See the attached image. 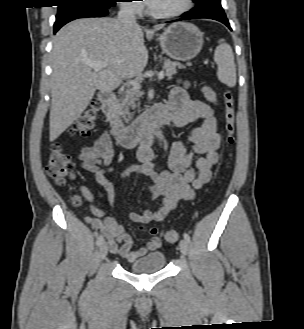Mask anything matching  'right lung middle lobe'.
<instances>
[{"label": "right lung middle lobe", "instance_id": "dd1d6c3e", "mask_svg": "<svg viewBox=\"0 0 304 329\" xmlns=\"http://www.w3.org/2000/svg\"><path fill=\"white\" fill-rule=\"evenodd\" d=\"M58 12L60 14L64 11L78 8V7H98L110 8L115 5L116 0H59Z\"/></svg>", "mask_w": 304, "mask_h": 329}]
</instances>
